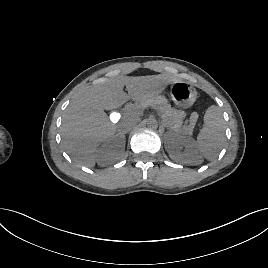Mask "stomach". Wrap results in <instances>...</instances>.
Returning a JSON list of instances; mask_svg holds the SVG:
<instances>
[{
  "label": "stomach",
  "instance_id": "0dacf381",
  "mask_svg": "<svg viewBox=\"0 0 268 268\" xmlns=\"http://www.w3.org/2000/svg\"><path fill=\"white\" fill-rule=\"evenodd\" d=\"M196 96L195 88L189 83L180 80L171 83V97L178 107L190 108L194 104Z\"/></svg>",
  "mask_w": 268,
  "mask_h": 268
}]
</instances>
